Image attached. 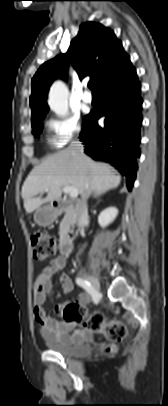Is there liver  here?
Listing matches in <instances>:
<instances>
[{
	"instance_id": "6515ba94",
	"label": "liver",
	"mask_w": 168,
	"mask_h": 406,
	"mask_svg": "<svg viewBox=\"0 0 168 406\" xmlns=\"http://www.w3.org/2000/svg\"><path fill=\"white\" fill-rule=\"evenodd\" d=\"M120 181L121 176L109 164L76 156L67 148L32 169L22 186L24 208L32 213L45 203L60 200L65 186L76 188L81 196L90 192L97 195L118 187ZM43 192H47L46 198L37 197Z\"/></svg>"
}]
</instances>
